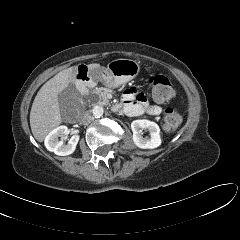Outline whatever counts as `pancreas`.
<instances>
[{
	"label": "pancreas",
	"instance_id": "1",
	"mask_svg": "<svg viewBox=\"0 0 240 240\" xmlns=\"http://www.w3.org/2000/svg\"><path fill=\"white\" fill-rule=\"evenodd\" d=\"M108 92H109V89L104 87H99V88H96L92 94H95L98 96L99 104L108 105L109 104V100L107 98Z\"/></svg>",
	"mask_w": 240,
	"mask_h": 240
}]
</instances>
